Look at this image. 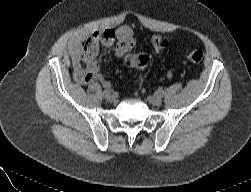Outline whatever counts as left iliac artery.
<instances>
[{
	"instance_id": "1",
	"label": "left iliac artery",
	"mask_w": 251,
	"mask_h": 192,
	"mask_svg": "<svg viewBox=\"0 0 251 192\" xmlns=\"http://www.w3.org/2000/svg\"><path fill=\"white\" fill-rule=\"evenodd\" d=\"M158 94L160 95V96H163L164 95V91L163 90H158Z\"/></svg>"
}]
</instances>
